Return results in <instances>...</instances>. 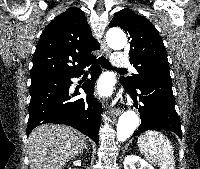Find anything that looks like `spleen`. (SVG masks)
<instances>
[{"label":"spleen","instance_id":"1","mask_svg":"<svg viewBox=\"0 0 200 169\" xmlns=\"http://www.w3.org/2000/svg\"><path fill=\"white\" fill-rule=\"evenodd\" d=\"M138 147L145 157L160 169H174L175 157L170 140L156 130H148L138 137Z\"/></svg>","mask_w":200,"mask_h":169}]
</instances>
